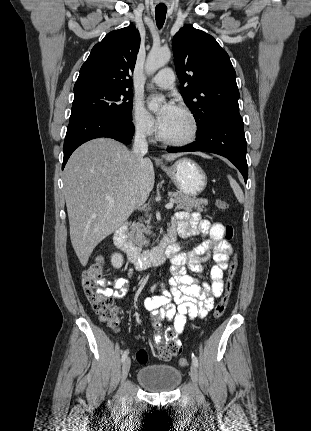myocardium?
Returning a JSON list of instances; mask_svg holds the SVG:
<instances>
[{
    "instance_id": "1",
    "label": "myocardium",
    "mask_w": 311,
    "mask_h": 431,
    "mask_svg": "<svg viewBox=\"0 0 311 431\" xmlns=\"http://www.w3.org/2000/svg\"><path fill=\"white\" fill-rule=\"evenodd\" d=\"M180 110L183 111L186 115H188L190 117V119L192 120V122H193V133L189 137L184 138V139H166L163 137V134L161 132V128H159L158 139H159V141H161L165 145L177 146V147L187 146V145H190L193 142H195L197 140V138L199 137V134L201 131V123H200V120H199L197 114L191 108H189L187 106L180 107Z\"/></svg>"
}]
</instances>
